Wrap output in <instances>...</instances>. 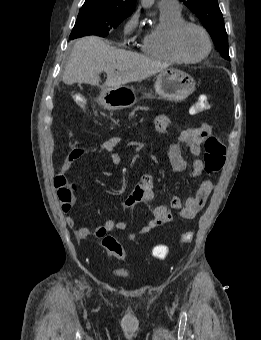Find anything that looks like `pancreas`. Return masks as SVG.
<instances>
[{
  "label": "pancreas",
  "mask_w": 261,
  "mask_h": 340,
  "mask_svg": "<svg viewBox=\"0 0 261 340\" xmlns=\"http://www.w3.org/2000/svg\"><path fill=\"white\" fill-rule=\"evenodd\" d=\"M139 109H140V110H146V109H148V107L137 106V107H135L134 111H137V110H139ZM134 111H133V112H134ZM133 112H132V113H133Z\"/></svg>",
  "instance_id": "cf45deb5"
}]
</instances>
